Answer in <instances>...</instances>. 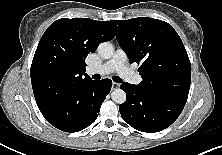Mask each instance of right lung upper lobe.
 Listing matches in <instances>:
<instances>
[{
  "label": "right lung upper lobe",
  "mask_w": 222,
  "mask_h": 155,
  "mask_svg": "<svg viewBox=\"0 0 222 155\" xmlns=\"http://www.w3.org/2000/svg\"><path fill=\"white\" fill-rule=\"evenodd\" d=\"M115 36L111 21L62 18L43 34L31 65L32 88L53 85L59 90L91 80L85 59Z\"/></svg>",
  "instance_id": "obj_1"
}]
</instances>
